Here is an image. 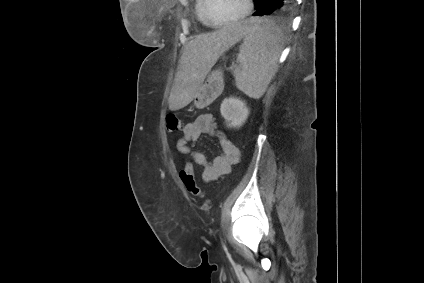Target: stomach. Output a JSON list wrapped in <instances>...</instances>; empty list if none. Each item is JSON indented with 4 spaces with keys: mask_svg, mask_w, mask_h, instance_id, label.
Returning <instances> with one entry per match:
<instances>
[{
    "mask_svg": "<svg viewBox=\"0 0 424 283\" xmlns=\"http://www.w3.org/2000/svg\"><path fill=\"white\" fill-rule=\"evenodd\" d=\"M219 73V71H213L205 77L195 97L193 98L194 105L196 107L201 108L206 105L203 102L204 95L207 94L211 86L216 83Z\"/></svg>",
    "mask_w": 424,
    "mask_h": 283,
    "instance_id": "stomach-1",
    "label": "stomach"
}]
</instances>
